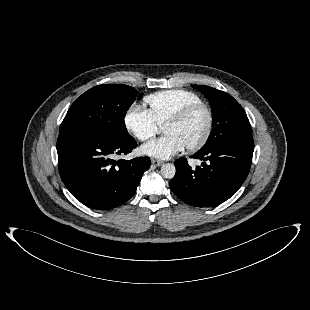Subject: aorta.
Listing matches in <instances>:
<instances>
[{
  "label": "aorta",
  "mask_w": 310,
  "mask_h": 310,
  "mask_svg": "<svg viewBox=\"0 0 310 310\" xmlns=\"http://www.w3.org/2000/svg\"><path fill=\"white\" fill-rule=\"evenodd\" d=\"M160 172L164 178L172 179L175 176L176 168L174 164L167 163L162 165Z\"/></svg>",
  "instance_id": "aorta-1"
}]
</instances>
